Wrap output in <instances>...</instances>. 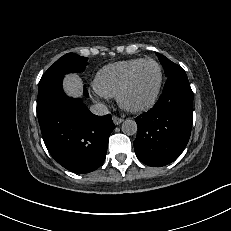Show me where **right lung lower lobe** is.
<instances>
[{
    "label": "right lung lower lobe",
    "instance_id": "right-lung-lower-lobe-1",
    "mask_svg": "<svg viewBox=\"0 0 231 231\" xmlns=\"http://www.w3.org/2000/svg\"><path fill=\"white\" fill-rule=\"evenodd\" d=\"M63 77L39 85L37 116L42 136L61 166L75 173H89L103 164L115 126L111 115L96 116L81 99L65 95ZM84 95H88L86 88Z\"/></svg>",
    "mask_w": 231,
    "mask_h": 231
}]
</instances>
